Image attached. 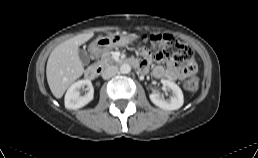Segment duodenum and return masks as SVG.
Here are the masks:
<instances>
[{
  "label": "duodenum",
  "mask_w": 258,
  "mask_h": 158,
  "mask_svg": "<svg viewBox=\"0 0 258 158\" xmlns=\"http://www.w3.org/2000/svg\"><path fill=\"white\" fill-rule=\"evenodd\" d=\"M98 52H99V48H96V47L92 48L93 55H96ZM123 64L132 66L137 69H140V67H141L140 62H138L136 59H133V58H129V59L125 60L123 62ZM101 71H102L101 67H99L97 65L89 66L85 70V78L88 80H94L95 78H97L100 75Z\"/></svg>",
  "instance_id": "410a0bca"
}]
</instances>
